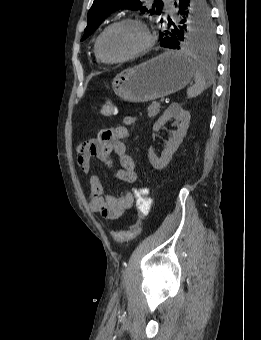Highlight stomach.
I'll list each match as a JSON object with an SVG mask.
<instances>
[{
  "mask_svg": "<svg viewBox=\"0 0 261 340\" xmlns=\"http://www.w3.org/2000/svg\"><path fill=\"white\" fill-rule=\"evenodd\" d=\"M194 75V62L186 55L166 51L117 74L113 91L132 103L152 101L183 89Z\"/></svg>",
  "mask_w": 261,
  "mask_h": 340,
  "instance_id": "0dacf381",
  "label": "stomach"
}]
</instances>
